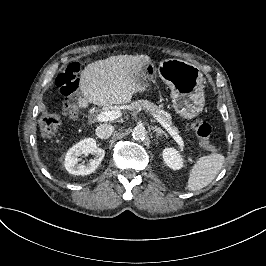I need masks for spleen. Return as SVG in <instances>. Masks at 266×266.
Returning <instances> with one entry per match:
<instances>
[{"mask_svg":"<svg viewBox=\"0 0 266 266\" xmlns=\"http://www.w3.org/2000/svg\"><path fill=\"white\" fill-rule=\"evenodd\" d=\"M225 156L214 152L201 156L192 166L186 181V189L195 192L209 185L220 172Z\"/></svg>","mask_w":266,"mask_h":266,"instance_id":"3e777b00","label":"spleen"}]
</instances>
